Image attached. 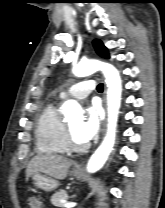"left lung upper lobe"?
<instances>
[{
    "label": "left lung upper lobe",
    "instance_id": "obj_1",
    "mask_svg": "<svg viewBox=\"0 0 165 208\" xmlns=\"http://www.w3.org/2000/svg\"><path fill=\"white\" fill-rule=\"evenodd\" d=\"M93 45H94V48H95L96 52L100 56H102L104 58H109L108 51L100 40H94Z\"/></svg>",
    "mask_w": 165,
    "mask_h": 208
}]
</instances>
